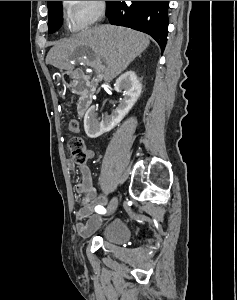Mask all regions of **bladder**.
<instances>
[{
  "label": "bladder",
  "instance_id": "1",
  "mask_svg": "<svg viewBox=\"0 0 237 300\" xmlns=\"http://www.w3.org/2000/svg\"><path fill=\"white\" fill-rule=\"evenodd\" d=\"M103 241L113 244L126 243L130 238V229L122 219H114L108 222L100 231Z\"/></svg>",
  "mask_w": 237,
  "mask_h": 300
}]
</instances>
